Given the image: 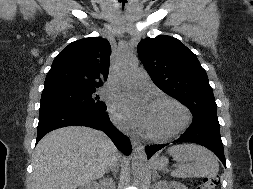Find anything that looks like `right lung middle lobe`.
<instances>
[{"label": "right lung middle lobe", "instance_id": "1", "mask_svg": "<svg viewBox=\"0 0 253 189\" xmlns=\"http://www.w3.org/2000/svg\"><path fill=\"white\" fill-rule=\"evenodd\" d=\"M98 87H54L44 89L41 96V106L68 105L97 111H106V105L95 93Z\"/></svg>", "mask_w": 253, "mask_h": 189}]
</instances>
